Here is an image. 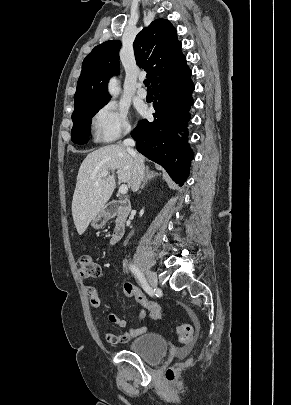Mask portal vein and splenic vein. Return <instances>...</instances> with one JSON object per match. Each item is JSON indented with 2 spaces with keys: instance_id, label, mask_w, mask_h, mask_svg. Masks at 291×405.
Instances as JSON below:
<instances>
[{
  "instance_id": "18ae733b",
  "label": "portal vein and splenic vein",
  "mask_w": 291,
  "mask_h": 405,
  "mask_svg": "<svg viewBox=\"0 0 291 405\" xmlns=\"http://www.w3.org/2000/svg\"><path fill=\"white\" fill-rule=\"evenodd\" d=\"M110 174V172L109 171H104V172H102L101 174H99V178L101 179V178H103V177H106L107 175H109ZM128 192V187H127V185H125V184H122L120 187H119V193L120 194H126Z\"/></svg>"
}]
</instances>
